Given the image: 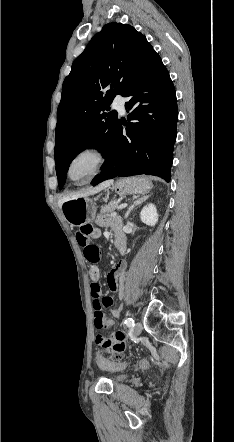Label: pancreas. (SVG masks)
<instances>
[{"mask_svg":"<svg viewBox=\"0 0 234 442\" xmlns=\"http://www.w3.org/2000/svg\"><path fill=\"white\" fill-rule=\"evenodd\" d=\"M119 207V201H111L108 204L101 207L100 214L110 215Z\"/></svg>","mask_w":234,"mask_h":442,"instance_id":"obj_1","label":"pancreas"}]
</instances>
